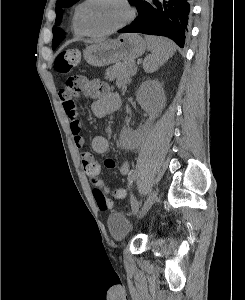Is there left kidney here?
Wrapping results in <instances>:
<instances>
[{
    "label": "left kidney",
    "mask_w": 245,
    "mask_h": 300,
    "mask_svg": "<svg viewBox=\"0 0 245 300\" xmlns=\"http://www.w3.org/2000/svg\"><path fill=\"white\" fill-rule=\"evenodd\" d=\"M136 99L141 108L154 119L165 105V94L162 84L157 80H147L142 83L137 91ZM137 133L124 129L121 133V141L125 147H131L137 141Z\"/></svg>",
    "instance_id": "1"
}]
</instances>
